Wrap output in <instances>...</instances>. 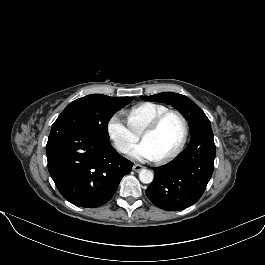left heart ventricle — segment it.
Here are the masks:
<instances>
[{
  "label": "left heart ventricle",
  "mask_w": 265,
  "mask_h": 265,
  "mask_svg": "<svg viewBox=\"0 0 265 265\" xmlns=\"http://www.w3.org/2000/svg\"><path fill=\"white\" fill-rule=\"evenodd\" d=\"M183 136V124L177 115L168 116L152 133L143 136L155 158L172 151L181 141Z\"/></svg>",
  "instance_id": "obj_1"
}]
</instances>
